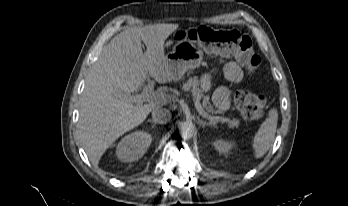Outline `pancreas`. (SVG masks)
Returning <instances> with one entry per match:
<instances>
[{
	"label": "pancreas",
	"instance_id": "obj_1",
	"mask_svg": "<svg viewBox=\"0 0 348 206\" xmlns=\"http://www.w3.org/2000/svg\"><path fill=\"white\" fill-rule=\"evenodd\" d=\"M184 91H191L198 99H202V105L206 109L209 114H217V111L210 103L209 95H205L203 90L199 87V80L197 77H193L188 79L182 86ZM228 125L230 127H237L239 125V121L235 118L230 119L227 118Z\"/></svg>",
	"mask_w": 348,
	"mask_h": 206
}]
</instances>
